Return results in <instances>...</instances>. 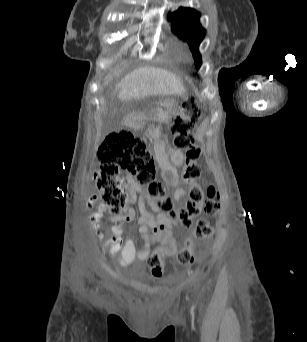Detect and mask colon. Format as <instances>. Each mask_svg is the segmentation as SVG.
<instances>
[{
  "instance_id": "5ec220e1",
  "label": "colon",
  "mask_w": 307,
  "mask_h": 342,
  "mask_svg": "<svg viewBox=\"0 0 307 342\" xmlns=\"http://www.w3.org/2000/svg\"><path fill=\"white\" fill-rule=\"evenodd\" d=\"M200 118L199 109L193 101L185 103L180 112L171 118L170 132L174 137L175 146L183 151L184 171L183 180L196 181L201 178L202 170L197 164L201 150L193 142V128ZM99 167L94 172L93 182L99 189L98 198L100 217H113L115 219L130 220L132 214L126 211L127 194L122 186L121 173L133 175L147 187L150 196L156 199L159 211L169 214L175 222L184 227H191V233L184 239L183 247L178 253V262L182 265L192 266V254L196 241L213 236V226L205 218H198L201 210L208 217H214L219 210V194L214 185L203 190L195 186L190 191L191 200L185 205L175 207L171 198L165 194L164 186L154 179L155 165L150 149L146 142L126 130H115L109 133L99 147ZM204 192L206 199L203 200ZM153 240L157 243L153 254L148 257L152 268L153 279H159L163 273L162 255L177 254L178 240L172 235L168 226H153ZM157 237V238H156Z\"/></svg>"
}]
</instances>
